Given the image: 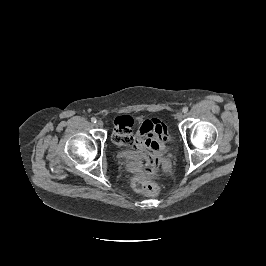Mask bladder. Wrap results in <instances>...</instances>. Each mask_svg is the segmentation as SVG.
Masks as SVG:
<instances>
[{
	"instance_id": "31cf9c89",
	"label": "bladder",
	"mask_w": 266,
	"mask_h": 266,
	"mask_svg": "<svg viewBox=\"0 0 266 266\" xmlns=\"http://www.w3.org/2000/svg\"><path fill=\"white\" fill-rule=\"evenodd\" d=\"M124 156L127 159H135L139 156L138 152L134 151V150H127L124 152Z\"/></svg>"
}]
</instances>
